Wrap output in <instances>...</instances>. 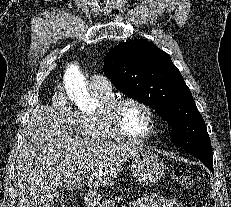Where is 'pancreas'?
Listing matches in <instances>:
<instances>
[{
    "instance_id": "1",
    "label": "pancreas",
    "mask_w": 231,
    "mask_h": 207,
    "mask_svg": "<svg viewBox=\"0 0 231 207\" xmlns=\"http://www.w3.org/2000/svg\"><path fill=\"white\" fill-rule=\"evenodd\" d=\"M123 200V196H118L113 199H108L99 203L98 207H114L116 203H120Z\"/></svg>"
}]
</instances>
